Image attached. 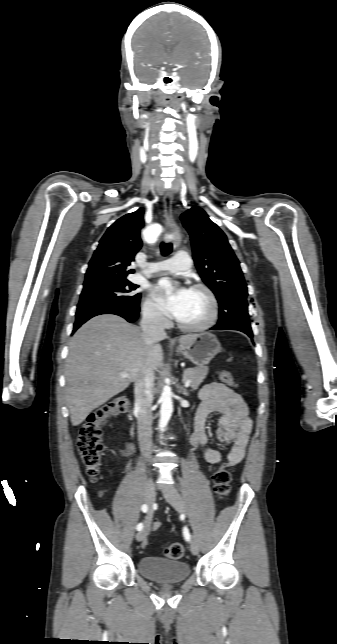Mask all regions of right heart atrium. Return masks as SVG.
Here are the masks:
<instances>
[{"instance_id": "d8ad5b80", "label": "right heart atrium", "mask_w": 337, "mask_h": 644, "mask_svg": "<svg viewBox=\"0 0 337 644\" xmlns=\"http://www.w3.org/2000/svg\"><path fill=\"white\" fill-rule=\"evenodd\" d=\"M143 316L145 320L153 325H164L166 317L151 297H148L143 304Z\"/></svg>"}]
</instances>
